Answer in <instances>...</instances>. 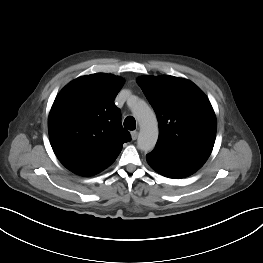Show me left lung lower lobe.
I'll return each instance as SVG.
<instances>
[{
	"label": "left lung lower lobe",
	"instance_id": "left-lung-lower-lobe-1",
	"mask_svg": "<svg viewBox=\"0 0 263 263\" xmlns=\"http://www.w3.org/2000/svg\"><path fill=\"white\" fill-rule=\"evenodd\" d=\"M148 164L158 173L169 178H183L195 173L207 157L177 155L154 149L146 156Z\"/></svg>",
	"mask_w": 263,
	"mask_h": 263
}]
</instances>
